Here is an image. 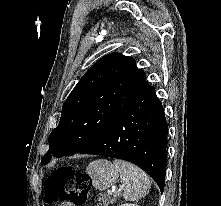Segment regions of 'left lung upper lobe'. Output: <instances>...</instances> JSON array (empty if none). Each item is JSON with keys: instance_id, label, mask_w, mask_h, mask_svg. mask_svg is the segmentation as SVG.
Returning <instances> with one entry per match:
<instances>
[{"instance_id": "5c2ea615", "label": "left lung upper lobe", "mask_w": 221, "mask_h": 206, "mask_svg": "<svg viewBox=\"0 0 221 206\" xmlns=\"http://www.w3.org/2000/svg\"><path fill=\"white\" fill-rule=\"evenodd\" d=\"M148 88L132 57L112 53L98 60L65 101L41 164L48 163L50 156L74 155L84 149Z\"/></svg>"}]
</instances>
